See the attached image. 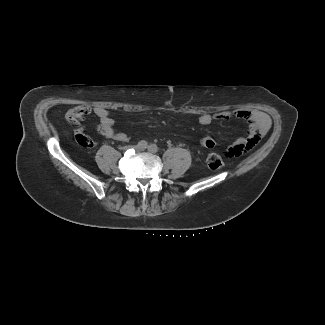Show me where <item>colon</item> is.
<instances>
[{"label":"colon","instance_id":"obj_1","mask_svg":"<svg viewBox=\"0 0 325 325\" xmlns=\"http://www.w3.org/2000/svg\"><path fill=\"white\" fill-rule=\"evenodd\" d=\"M207 164L209 168L214 171L221 169L224 165L222 157L214 152L208 154Z\"/></svg>","mask_w":325,"mask_h":325}]
</instances>
